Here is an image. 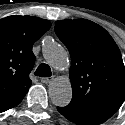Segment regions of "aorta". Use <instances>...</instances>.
<instances>
[{
  "instance_id": "1",
  "label": "aorta",
  "mask_w": 125,
  "mask_h": 125,
  "mask_svg": "<svg viewBox=\"0 0 125 125\" xmlns=\"http://www.w3.org/2000/svg\"><path fill=\"white\" fill-rule=\"evenodd\" d=\"M43 56L46 62L57 70H64L68 66L66 50L58 43L48 40L43 47ZM49 96L53 104L59 107L68 105L72 98L70 81L56 78L49 85Z\"/></svg>"
}]
</instances>
